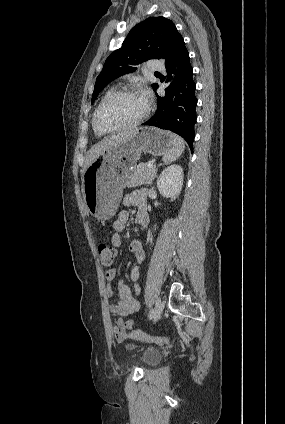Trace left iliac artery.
Segmentation results:
<instances>
[{
	"label": "left iliac artery",
	"mask_w": 285,
	"mask_h": 424,
	"mask_svg": "<svg viewBox=\"0 0 285 424\" xmlns=\"http://www.w3.org/2000/svg\"><path fill=\"white\" fill-rule=\"evenodd\" d=\"M154 317V309H151L149 312V319H152Z\"/></svg>",
	"instance_id": "obj_1"
}]
</instances>
